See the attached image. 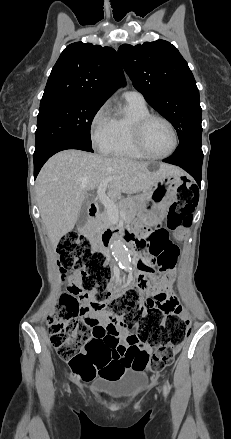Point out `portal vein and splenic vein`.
Listing matches in <instances>:
<instances>
[{"label":"portal vein and splenic vein","mask_w":231,"mask_h":439,"mask_svg":"<svg viewBox=\"0 0 231 439\" xmlns=\"http://www.w3.org/2000/svg\"><path fill=\"white\" fill-rule=\"evenodd\" d=\"M112 180V178H106L102 184H100V186L98 187V199L100 200V202L103 204V206L107 209L109 216L112 219H117L119 217V211H118V207L115 204V202L113 200H111L106 194H105V190H106V185L108 182H110ZM123 216H125V214H123Z\"/></svg>","instance_id":"1"}]
</instances>
